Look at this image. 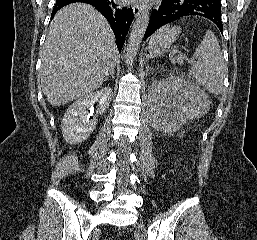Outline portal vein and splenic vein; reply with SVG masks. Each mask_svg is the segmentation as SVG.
<instances>
[{
	"label": "portal vein and splenic vein",
	"mask_w": 257,
	"mask_h": 240,
	"mask_svg": "<svg viewBox=\"0 0 257 240\" xmlns=\"http://www.w3.org/2000/svg\"><path fill=\"white\" fill-rule=\"evenodd\" d=\"M185 59H187V58H186L185 56H183V55H178V56L176 57V61H177L178 63H180V64H182ZM190 62L193 63V60L191 59Z\"/></svg>",
	"instance_id": "obj_1"
}]
</instances>
